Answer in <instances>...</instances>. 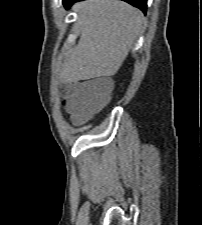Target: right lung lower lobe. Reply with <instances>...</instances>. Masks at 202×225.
Returning <instances> with one entry per match:
<instances>
[{
  "mask_svg": "<svg viewBox=\"0 0 202 225\" xmlns=\"http://www.w3.org/2000/svg\"><path fill=\"white\" fill-rule=\"evenodd\" d=\"M80 0H63L64 6L68 9L74 2H77ZM131 5L141 9L143 12H146L147 9V0H123Z\"/></svg>",
  "mask_w": 202,
  "mask_h": 225,
  "instance_id": "right-lung-lower-lobe-1",
  "label": "right lung lower lobe"
}]
</instances>
